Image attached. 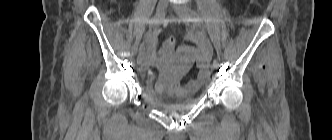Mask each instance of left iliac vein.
<instances>
[{"label": "left iliac vein", "instance_id": "4c4485c4", "mask_svg": "<svg viewBox=\"0 0 332 140\" xmlns=\"http://www.w3.org/2000/svg\"><path fill=\"white\" fill-rule=\"evenodd\" d=\"M175 12L177 15L181 18V20L189 24L191 22L192 18V9L189 7V5L183 3V4H177L174 6ZM212 70H215L217 66L213 63L211 66Z\"/></svg>", "mask_w": 332, "mask_h": 140}]
</instances>
